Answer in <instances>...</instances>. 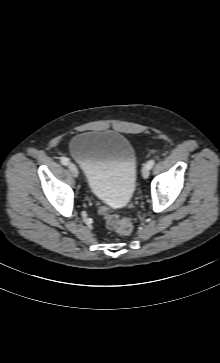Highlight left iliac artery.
<instances>
[{
  "label": "left iliac artery",
  "mask_w": 220,
  "mask_h": 363,
  "mask_svg": "<svg viewBox=\"0 0 220 363\" xmlns=\"http://www.w3.org/2000/svg\"><path fill=\"white\" fill-rule=\"evenodd\" d=\"M155 164V160L154 159H151L149 160L146 165L148 166L149 169H151Z\"/></svg>",
  "instance_id": "left-iliac-artery-1"
}]
</instances>
